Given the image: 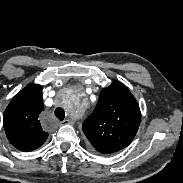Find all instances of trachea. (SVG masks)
I'll return each mask as SVG.
<instances>
[{
    "label": "trachea",
    "mask_w": 183,
    "mask_h": 183,
    "mask_svg": "<svg viewBox=\"0 0 183 183\" xmlns=\"http://www.w3.org/2000/svg\"><path fill=\"white\" fill-rule=\"evenodd\" d=\"M55 115L60 120L63 121L65 118V112L62 108L58 107L55 109Z\"/></svg>",
    "instance_id": "trachea-1"
}]
</instances>
